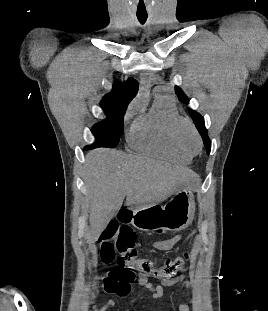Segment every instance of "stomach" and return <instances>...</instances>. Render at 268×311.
<instances>
[{"label":"stomach","instance_id":"1","mask_svg":"<svg viewBox=\"0 0 268 311\" xmlns=\"http://www.w3.org/2000/svg\"><path fill=\"white\" fill-rule=\"evenodd\" d=\"M195 201L192 191L181 188L165 207L157 204L133 209L131 224L141 231H174L187 228L194 217Z\"/></svg>","mask_w":268,"mask_h":311}]
</instances>
